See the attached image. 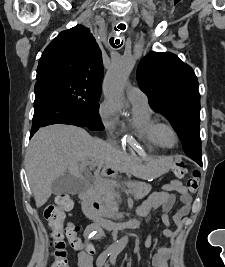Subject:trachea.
Segmentation results:
<instances>
[{
	"instance_id": "trachea-1",
	"label": "trachea",
	"mask_w": 225,
	"mask_h": 267,
	"mask_svg": "<svg viewBox=\"0 0 225 267\" xmlns=\"http://www.w3.org/2000/svg\"><path fill=\"white\" fill-rule=\"evenodd\" d=\"M118 29L119 30H125L126 29V25L121 23V24L118 25ZM110 44H111V46H113L115 48H118V47H120L122 45V42L120 43L119 39L114 40V38H110Z\"/></svg>"
}]
</instances>
